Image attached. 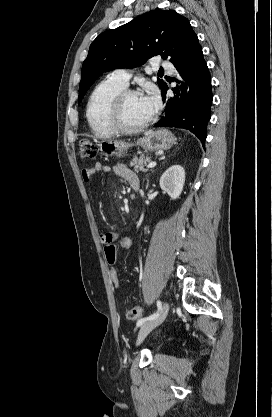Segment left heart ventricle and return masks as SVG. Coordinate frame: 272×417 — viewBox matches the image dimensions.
Listing matches in <instances>:
<instances>
[{"label": "left heart ventricle", "mask_w": 272, "mask_h": 417, "mask_svg": "<svg viewBox=\"0 0 272 417\" xmlns=\"http://www.w3.org/2000/svg\"><path fill=\"white\" fill-rule=\"evenodd\" d=\"M152 114L147 110L140 95L129 96L123 105L122 121L127 126H138L146 122Z\"/></svg>", "instance_id": "b2bd125f"}]
</instances>
